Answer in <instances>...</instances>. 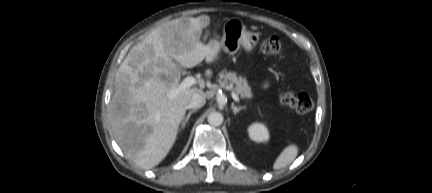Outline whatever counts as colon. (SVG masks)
I'll return each mask as SVG.
<instances>
[{
	"instance_id": "5ec220e1",
	"label": "colon",
	"mask_w": 432,
	"mask_h": 193,
	"mask_svg": "<svg viewBox=\"0 0 432 193\" xmlns=\"http://www.w3.org/2000/svg\"><path fill=\"white\" fill-rule=\"evenodd\" d=\"M262 52L269 57H280L283 52L281 40L278 37H270L262 45ZM280 102L297 113L305 114L314 108L313 100L305 93L295 94L290 90H284L279 95Z\"/></svg>"
}]
</instances>
